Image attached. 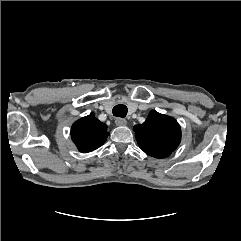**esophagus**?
I'll use <instances>...</instances> for the list:
<instances>
[{
    "mask_svg": "<svg viewBox=\"0 0 241 241\" xmlns=\"http://www.w3.org/2000/svg\"><path fill=\"white\" fill-rule=\"evenodd\" d=\"M115 124L117 126H125L127 124V121L123 118H116Z\"/></svg>",
    "mask_w": 241,
    "mask_h": 241,
    "instance_id": "obj_1",
    "label": "esophagus"
}]
</instances>
